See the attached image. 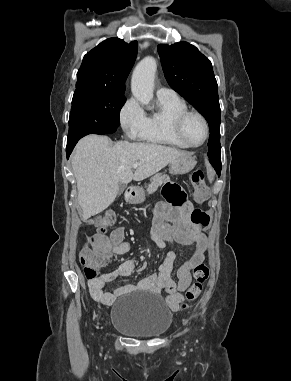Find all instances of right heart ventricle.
<instances>
[{
	"mask_svg": "<svg viewBox=\"0 0 291 381\" xmlns=\"http://www.w3.org/2000/svg\"><path fill=\"white\" fill-rule=\"evenodd\" d=\"M188 110L179 96L172 98L158 97L156 109L144 117L139 138L155 145L179 149L188 148L175 134L173 124L175 118Z\"/></svg>",
	"mask_w": 291,
	"mask_h": 381,
	"instance_id": "obj_1",
	"label": "right heart ventricle"
}]
</instances>
